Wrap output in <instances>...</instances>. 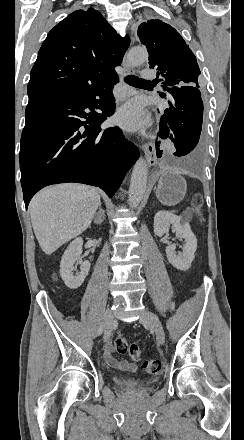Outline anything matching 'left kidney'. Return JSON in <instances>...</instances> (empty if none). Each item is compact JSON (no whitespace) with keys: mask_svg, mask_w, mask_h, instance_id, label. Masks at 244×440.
Masks as SVG:
<instances>
[{"mask_svg":"<svg viewBox=\"0 0 244 440\" xmlns=\"http://www.w3.org/2000/svg\"><path fill=\"white\" fill-rule=\"evenodd\" d=\"M169 226H172L173 232H176V238H184L185 244L182 248V252H175L177 244H170L166 248V256L177 270H189L191 264L195 258L194 254L197 250V240L194 236L189 222L182 220L181 216H175L172 212H165L160 210L155 214L154 218V232L156 236L162 238L164 234H167Z\"/></svg>","mask_w":244,"mask_h":440,"instance_id":"1","label":"left kidney"}]
</instances>
